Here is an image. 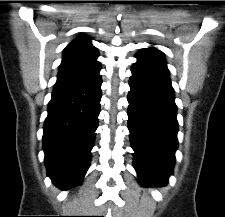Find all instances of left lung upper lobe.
Masks as SVG:
<instances>
[{
	"label": "left lung upper lobe",
	"mask_w": 225,
	"mask_h": 217,
	"mask_svg": "<svg viewBox=\"0 0 225 217\" xmlns=\"http://www.w3.org/2000/svg\"><path fill=\"white\" fill-rule=\"evenodd\" d=\"M137 63L166 65L163 53L156 48H145L136 54Z\"/></svg>",
	"instance_id": "5c2ea615"
}]
</instances>
